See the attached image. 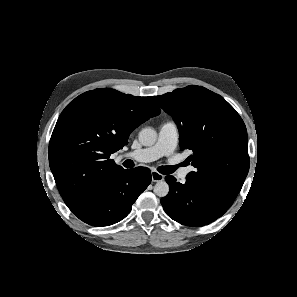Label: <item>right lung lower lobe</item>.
<instances>
[{"label":"right lung lower lobe","instance_id":"98d812e1","mask_svg":"<svg viewBox=\"0 0 297 297\" xmlns=\"http://www.w3.org/2000/svg\"><path fill=\"white\" fill-rule=\"evenodd\" d=\"M151 182L146 167L121 171L97 189L86 203L73 213L92 226H109L124 219L132 204Z\"/></svg>","mask_w":297,"mask_h":297}]
</instances>
